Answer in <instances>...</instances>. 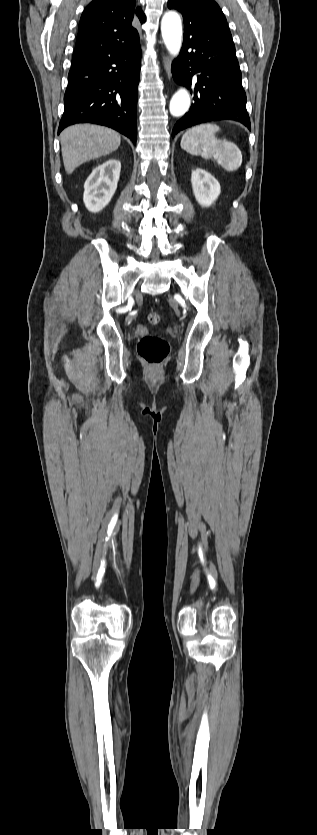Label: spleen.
<instances>
[{
    "instance_id": "3e777b00",
    "label": "spleen",
    "mask_w": 317,
    "mask_h": 835,
    "mask_svg": "<svg viewBox=\"0 0 317 835\" xmlns=\"http://www.w3.org/2000/svg\"><path fill=\"white\" fill-rule=\"evenodd\" d=\"M219 131L220 127L213 123L194 126L182 136L181 148L205 159L217 155L216 163L227 172H234L241 166V151L235 143L217 138L216 133Z\"/></svg>"
}]
</instances>
